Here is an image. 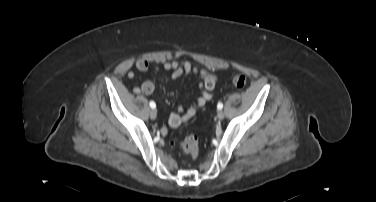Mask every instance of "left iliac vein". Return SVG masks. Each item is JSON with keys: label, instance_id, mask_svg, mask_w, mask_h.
Segmentation results:
<instances>
[{"label": "left iliac vein", "instance_id": "left-iliac-vein-1", "mask_svg": "<svg viewBox=\"0 0 376 202\" xmlns=\"http://www.w3.org/2000/svg\"><path fill=\"white\" fill-rule=\"evenodd\" d=\"M224 112L222 110H219L218 113H217V117L219 120H222L224 119Z\"/></svg>", "mask_w": 376, "mask_h": 202}]
</instances>
